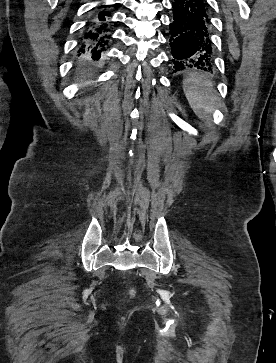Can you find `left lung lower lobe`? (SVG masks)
<instances>
[{"label": "left lung lower lobe", "instance_id": "obj_1", "mask_svg": "<svg viewBox=\"0 0 276 363\" xmlns=\"http://www.w3.org/2000/svg\"><path fill=\"white\" fill-rule=\"evenodd\" d=\"M170 47L174 72L189 68L212 71L209 4L206 0H172Z\"/></svg>", "mask_w": 276, "mask_h": 363}]
</instances>
